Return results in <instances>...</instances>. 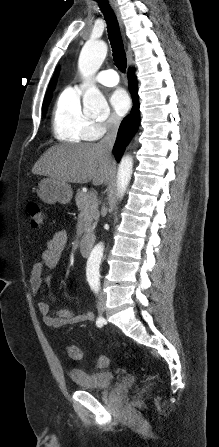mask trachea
Returning a JSON list of instances; mask_svg holds the SVG:
<instances>
[{
	"instance_id": "obj_1",
	"label": "trachea",
	"mask_w": 219,
	"mask_h": 447,
	"mask_svg": "<svg viewBox=\"0 0 219 447\" xmlns=\"http://www.w3.org/2000/svg\"><path fill=\"white\" fill-rule=\"evenodd\" d=\"M95 1L98 3L107 23L108 36L112 47L115 65L121 72H125L127 59L117 17L108 0Z\"/></svg>"
}]
</instances>
